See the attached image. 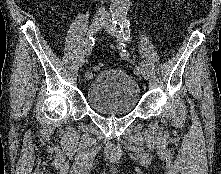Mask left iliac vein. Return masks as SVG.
<instances>
[{
  "mask_svg": "<svg viewBox=\"0 0 221 174\" xmlns=\"http://www.w3.org/2000/svg\"><path fill=\"white\" fill-rule=\"evenodd\" d=\"M105 30L110 33L112 36H114L119 42H123L124 38L123 35L120 33V31L110 22V20H106L103 24ZM140 73L143 75V77L148 80L149 79V71L146 67V65L141 62L140 63Z\"/></svg>",
  "mask_w": 221,
  "mask_h": 174,
  "instance_id": "1",
  "label": "left iliac vein"
}]
</instances>
